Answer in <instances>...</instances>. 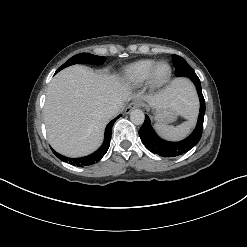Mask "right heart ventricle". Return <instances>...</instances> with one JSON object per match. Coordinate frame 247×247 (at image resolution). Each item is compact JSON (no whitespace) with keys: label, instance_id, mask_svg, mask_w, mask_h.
Segmentation results:
<instances>
[{"label":"right heart ventricle","instance_id":"right-heart-ventricle-1","mask_svg":"<svg viewBox=\"0 0 247 247\" xmlns=\"http://www.w3.org/2000/svg\"><path fill=\"white\" fill-rule=\"evenodd\" d=\"M157 63L154 59H142L126 66L122 72L123 81L130 86H138L148 80Z\"/></svg>","mask_w":247,"mask_h":247}]
</instances>
